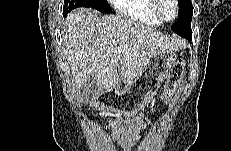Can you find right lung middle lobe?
<instances>
[{"label": "right lung middle lobe", "mask_w": 231, "mask_h": 151, "mask_svg": "<svg viewBox=\"0 0 231 151\" xmlns=\"http://www.w3.org/2000/svg\"><path fill=\"white\" fill-rule=\"evenodd\" d=\"M78 7H90L102 13H110L111 8L107 0H65L63 10L71 11Z\"/></svg>", "instance_id": "right-lung-middle-lobe-1"}]
</instances>
